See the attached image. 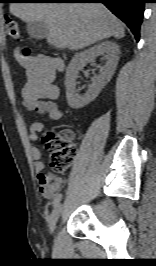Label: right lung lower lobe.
<instances>
[{"mask_svg":"<svg viewBox=\"0 0 156 266\" xmlns=\"http://www.w3.org/2000/svg\"><path fill=\"white\" fill-rule=\"evenodd\" d=\"M53 3H103L117 17L127 24L136 41H139V29L143 19L146 0H46Z\"/></svg>","mask_w":156,"mask_h":266,"instance_id":"right-lung-lower-lobe-1","label":"right lung lower lobe"}]
</instances>
